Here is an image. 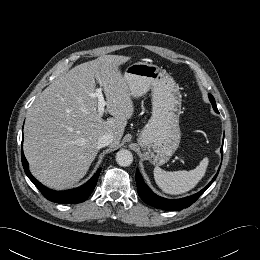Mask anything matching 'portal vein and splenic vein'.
Wrapping results in <instances>:
<instances>
[{
    "instance_id": "portal-vein-and-splenic-vein-1",
    "label": "portal vein and splenic vein",
    "mask_w": 260,
    "mask_h": 260,
    "mask_svg": "<svg viewBox=\"0 0 260 260\" xmlns=\"http://www.w3.org/2000/svg\"><path fill=\"white\" fill-rule=\"evenodd\" d=\"M91 96L98 99V113L102 116L104 113L105 106L107 105L102 94V89L97 88Z\"/></svg>"
}]
</instances>
